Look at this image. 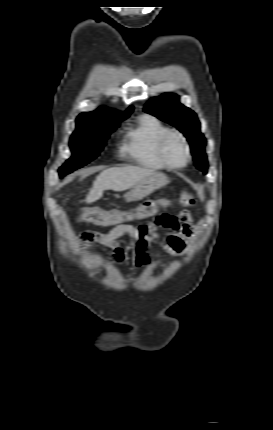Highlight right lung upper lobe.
<instances>
[{
  "label": "right lung upper lobe",
  "instance_id": "1",
  "mask_svg": "<svg viewBox=\"0 0 273 430\" xmlns=\"http://www.w3.org/2000/svg\"><path fill=\"white\" fill-rule=\"evenodd\" d=\"M133 107L130 106L126 111L119 112L113 109H106L101 107L93 112H83L77 118L78 121L92 122V123H103V124H114L120 123L124 118H127L132 112Z\"/></svg>",
  "mask_w": 273,
  "mask_h": 430
}]
</instances>
